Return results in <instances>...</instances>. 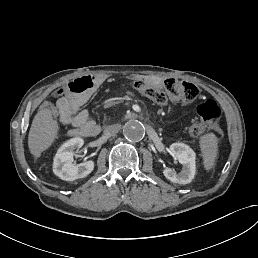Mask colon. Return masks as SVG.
I'll return each instance as SVG.
<instances>
[{
  "label": "colon",
  "mask_w": 258,
  "mask_h": 258,
  "mask_svg": "<svg viewBox=\"0 0 258 258\" xmlns=\"http://www.w3.org/2000/svg\"><path fill=\"white\" fill-rule=\"evenodd\" d=\"M67 89L70 87L67 85ZM138 91L157 105H165L169 102L174 104H189L198 96V88L189 82L168 79L164 89L149 84H137ZM61 88L55 92V97L60 99L64 94ZM198 120L189 127V133L196 137L203 134L209 124L220 115V109L215 101L207 100L197 107Z\"/></svg>",
  "instance_id": "colon-1"
}]
</instances>
